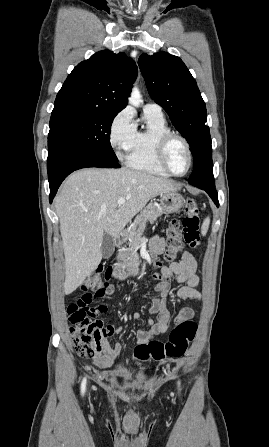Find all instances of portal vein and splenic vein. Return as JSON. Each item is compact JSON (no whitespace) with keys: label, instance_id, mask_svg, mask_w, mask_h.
Instances as JSON below:
<instances>
[{"label":"portal vein and splenic vein","instance_id":"18ae733b","mask_svg":"<svg viewBox=\"0 0 269 447\" xmlns=\"http://www.w3.org/2000/svg\"><path fill=\"white\" fill-rule=\"evenodd\" d=\"M126 200H128V198H119V200H117V204H119V206H122V204H125Z\"/></svg>","mask_w":269,"mask_h":447}]
</instances>
